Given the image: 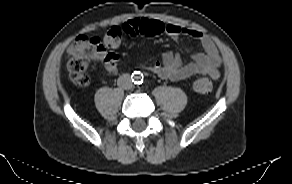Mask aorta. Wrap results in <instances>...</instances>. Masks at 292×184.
<instances>
[{
  "instance_id": "obj_1",
  "label": "aorta",
  "mask_w": 292,
  "mask_h": 184,
  "mask_svg": "<svg viewBox=\"0 0 292 184\" xmlns=\"http://www.w3.org/2000/svg\"><path fill=\"white\" fill-rule=\"evenodd\" d=\"M134 79H135V81H138V80H140L141 79V76L140 75H134V77H133Z\"/></svg>"
}]
</instances>
